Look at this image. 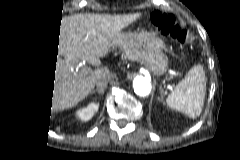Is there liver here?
Returning <instances> with one entry per match:
<instances>
[{
    "mask_svg": "<svg viewBox=\"0 0 240 160\" xmlns=\"http://www.w3.org/2000/svg\"><path fill=\"white\" fill-rule=\"evenodd\" d=\"M140 16V13L115 16L77 14L61 20L52 114L73 108L93 91L98 80L110 76L107 66L96 68L87 77L80 76L74 67L82 58L106 57L118 43L121 31Z\"/></svg>",
    "mask_w": 240,
    "mask_h": 160,
    "instance_id": "liver-1",
    "label": "liver"
}]
</instances>
